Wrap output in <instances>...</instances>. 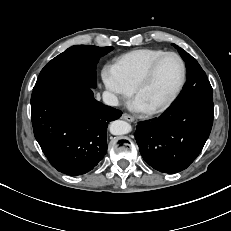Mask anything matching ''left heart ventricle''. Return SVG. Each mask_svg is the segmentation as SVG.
I'll return each instance as SVG.
<instances>
[{
  "label": "left heart ventricle",
  "mask_w": 231,
  "mask_h": 231,
  "mask_svg": "<svg viewBox=\"0 0 231 231\" xmlns=\"http://www.w3.org/2000/svg\"><path fill=\"white\" fill-rule=\"evenodd\" d=\"M181 78V65L174 56L166 57L158 65L151 80L141 89L136 97L147 107H154L176 89Z\"/></svg>",
  "instance_id": "left-heart-ventricle-1"
}]
</instances>
